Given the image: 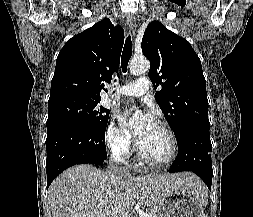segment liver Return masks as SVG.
I'll return each instance as SVG.
<instances>
[{
	"instance_id": "6515ba94",
	"label": "liver",
	"mask_w": 253,
	"mask_h": 217,
	"mask_svg": "<svg viewBox=\"0 0 253 217\" xmlns=\"http://www.w3.org/2000/svg\"><path fill=\"white\" fill-rule=\"evenodd\" d=\"M182 188L203 196V182L189 172L134 177L80 164L50 185L52 217H125L136 201L156 206L170 191Z\"/></svg>"
}]
</instances>
